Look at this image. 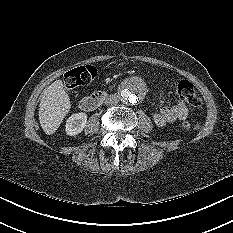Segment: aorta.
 Wrapping results in <instances>:
<instances>
[{"label":"aorta","mask_w":233,"mask_h":233,"mask_svg":"<svg viewBox=\"0 0 233 233\" xmlns=\"http://www.w3.org/2000/svg\"><path fill=\"white\" fill-rule=\"evenodd\" d=\"M121 101L128 105L139 103L145 95V84L140 78L126 80L120 89Z\"/></svg>","instance_id":"762f6f07"}]
</instances>
